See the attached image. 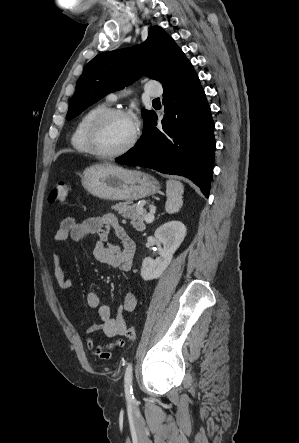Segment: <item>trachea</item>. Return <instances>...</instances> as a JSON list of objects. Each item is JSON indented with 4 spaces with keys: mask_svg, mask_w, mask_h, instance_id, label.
<instances>
[{
    "mask_svg": "<svg viewBox=\"0 0 299 443\" xmlns=\"http://www.w3.org/2000/svg\"><path fill=\"white\" fill-rule=\"evenodd\" d=\"M153 102H160V99L156 98V99L153 100Z\"/></svg>",
    "mask_w": 299,
    "mask_h": 443,
    "instance_id": "3493384b",
    "label": "trachea"
}]
</instances>
